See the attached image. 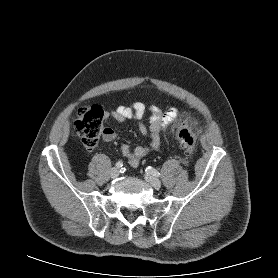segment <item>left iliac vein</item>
<instances>
[{"label": "left iliac vein", "mask_w": 278, "mask_h": 278, "mask_svg": "<svg viewBox=\"0 0 278 278\" xmlns=\"http://www.w3.org/2000/svg\"><path fill=\"white\" fill-rule=\"evenodd\" d=\"M144 179L152 185V187H154L155 189H159L161 187V182L159 179H157L156 177L150 175V174H145L144 175Z\"/></svg>", "instance_id": "4c4485c4"}]
</instances>
